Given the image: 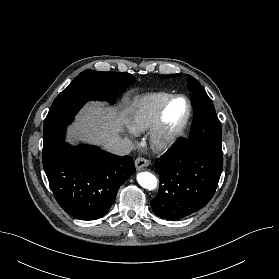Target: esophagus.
<instances>
[{"instance_id":"34e87169","label":"esophagus","mask_w":279,"mask_h":279,"mask_svg":"<svg viewBox=\"0 0 279 279\" xmlns=\"http://www.w3.org/2000/svg\"><path fill=\"white\" fill-rule=\"evenodd\" d=\"M149 165H150V162L145 158L138 157L135 160V166H136L137 170H141L142 168L147 167Z\"/></svg>"}]
</instances>
